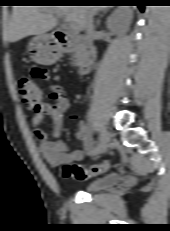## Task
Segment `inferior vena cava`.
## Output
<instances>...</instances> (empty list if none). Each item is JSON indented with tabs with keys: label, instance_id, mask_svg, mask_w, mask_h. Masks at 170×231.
Returning a JSON list of instances; mask_svg holds the SVG:
<instances>
[{
	"label": "inferior vena cava",
	"instance_id": "602c4592",
	"mask_svg": "<svg viewBox=\"0 0 170 231\" xmlns=\"http://www.w3.org/2000/svg\"><path fill=\"white\" fill-rule=\"evenodd\" d=\"M93 15L94 12L90 7L86 9V15H85V31H86V37L88 39H92L95 34V26L93 23Z\"/></svg>",
	"mask_w": 170,
	"mask_h": 231
}]
</instances>
